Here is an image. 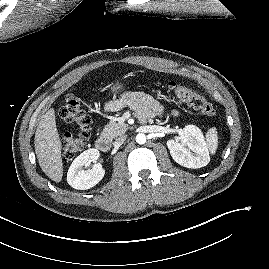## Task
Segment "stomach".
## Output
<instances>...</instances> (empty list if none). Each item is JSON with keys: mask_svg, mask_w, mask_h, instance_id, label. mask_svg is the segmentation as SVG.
Masks as SVG:
<instances>
[{"mask_svg": "<svg viewBox=\"0 0 269 269\" xmlns=\"http://www.w3.org/2000/svg\"><path fill=\"white\" fill-rule=\"evenodd\" d=\"M110 89L113 97L115 98L117 95H119L125 90V86L124 83L117 81L111 85Z\"/></svg>", "mask_w": 269, "mask_h": 269, "instance_id": "1", "label": "stomach"}]
</instances>
